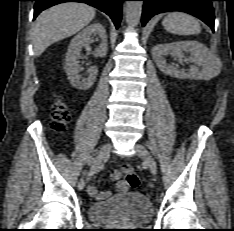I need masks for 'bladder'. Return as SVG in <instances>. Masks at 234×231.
Returning a JSON list of instances; mask_svg holds the SVG:
<instances>
[{
  "instance_id": "obj_1",
  "label": "bladder",
  "mask_w": 234,
  "mask_h": 231,
  "mask_svg": "<svg viewBox=\"0 0 234 231\" xmlns=\"http://www.w3.org/2000/svg\"><path fill=\"white\" fill-rule=\"evenodd\" d=\"M92 221L102 225L146 224L153 216L151 201L140 192H128L88 207Z\"/></svg>"
}]
</instances>
